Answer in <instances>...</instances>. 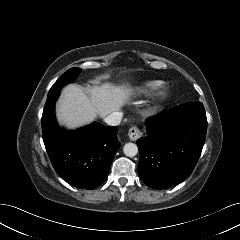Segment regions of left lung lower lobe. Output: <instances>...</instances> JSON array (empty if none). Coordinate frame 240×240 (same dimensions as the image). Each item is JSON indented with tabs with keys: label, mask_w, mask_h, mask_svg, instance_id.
<instances>
[{
	"label": "left lung lower lobe",
	"mask_w": 240,
	"mask_h": 240,
	"mask_svg": "<svg viewBox=\"0 0 240 240\" xmlns=\"http://www.w3.org/2000/svg\"><path fill=\"white\" fill-rule=\"evenodd\" d=\"M147 136L137 140L138 174L154 189L187 179L204 146L207 118L201 102H188L145 121Z\"/></svg>",
	"instance_id": "1"
}]
</instances>
